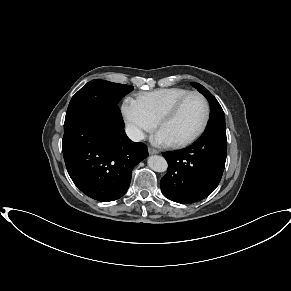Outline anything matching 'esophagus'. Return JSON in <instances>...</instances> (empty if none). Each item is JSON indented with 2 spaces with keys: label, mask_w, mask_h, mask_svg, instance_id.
<instances>
[{
  "label": "esophagus",
  "mask_w": 291,
  "mask_h": 291,
  "mask_svg": "<svg viewBox=\"0 0 291 291\" xmlns=\"http://www.w3.org/2000/svg\"><path fill=\"white\" fill-rule=\"evenodd\" d=\"M148 153H149V154H158L159 151L156 150V149H154V148L149 147V148H148Z\"/></svg>",
  "instance_id": "34e87169"
}]
</instances>
